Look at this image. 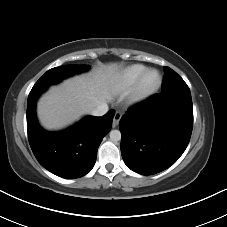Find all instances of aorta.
Here are the masks:
<instances>
[{"instance_id":"1","label":"aorta","mask_w":227,"mask_h":227,"mask_svg":"<svg viewBox=\"0 0 227 227\" xmlns=\"http://www.w3.org/2000/svg\"><path fill=\"white\" fill-rule=\"evenodd\" d=\"M109 136L112 142H117L121 140V132L119 130H111Z\"/></svg>"}]
</instances>
